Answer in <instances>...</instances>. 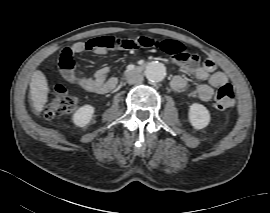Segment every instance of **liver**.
I'll list each match as a JSON object with an SVG mask.
<instances>
[{
    "label": "liver",
    "instance_id": "obj_1",
    "mask_svg": "<svg viewBox=\"0 0 270 213\" xmlns=\"http://www.w3.org/2000/svg\"><path fill=\"white\" fill-rule=\"evenodd\" d=\"M48 93L49 87L45 75L40 70H36L30 81V95L37 113H40L47 103Z\"/></svg>",
    "mask_w": 270,
    "mask_h": 213
}]
</instances>
